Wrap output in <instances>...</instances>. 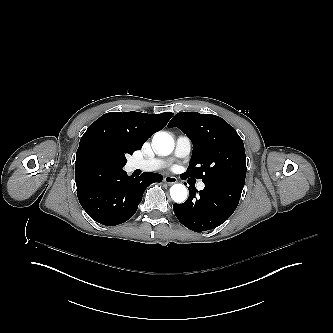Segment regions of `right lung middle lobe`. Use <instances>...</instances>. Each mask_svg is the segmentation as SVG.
<instances>
[{"label":"right lung middle lobe","mask_w":333,"mask_h":333,"mask_svg":"<svg viewBox=\"0 0 333 333\" xmlns=\"http://www.w3.org/2000/svg\"><path fill=\"white\" fill-rule=\"evenodd\" d=\"M127 151L114 149L107 143L99 140L90 142L82 153V159L93 160L109 168H123L127 163Z\"/></svg>","instance_id":"1"}]
</instances>
